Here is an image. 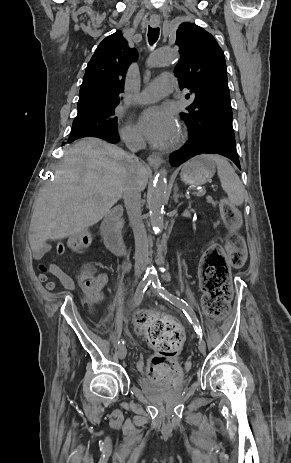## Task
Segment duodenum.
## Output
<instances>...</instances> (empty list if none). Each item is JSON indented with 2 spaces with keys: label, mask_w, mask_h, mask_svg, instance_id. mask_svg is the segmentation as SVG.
I'll use <instances>...</instances> for the list:
<instances>
[{
  "label": "duodenum",
  "mask_w": 291,
  "mask_h": 463,
  "mask_svg": "<svg viewBox=\"0 0 291 463\" xmlns=\"http://www.w3.org/2000/svg\"><path fill=\"white\" fill-rule=\"evenodd\" d=\"M124 206L121 203L113 206V209L105 216L101 224V236L107 248L118 256L128 253V244L124 241L116 226Z\"/></svg>",
  "instance_id": "duodenum-1"
}]
</instances>
